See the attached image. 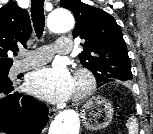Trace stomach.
I'll return each mask as SVG.
<instances>
[{"instance_id":"stomach-1","label":"stomach","mask_w":153,"mask_h":134,"mask_svg":"<svg viewBox=\"0 0 153 134\" xmlns=\"http://www.w3.org/2000/svg\"><path fill=\"white\" fill-rule=\"evenodd\" d=\"M81 118L86 129L97 131L106 128L113 118V107L102 97H92L83 106Z\"/></svg>"}]
</instances>
